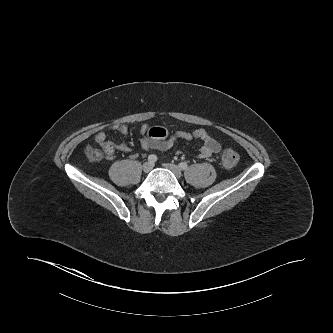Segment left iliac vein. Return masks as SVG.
<instances>
[{
	"mask_svg": "<svg viewBox=\"0 0 333 333\" xmlns=\"http://www.w3.org/2000/svg\"><path fill=\"white\" fill-rule=\"evenodd\" d=\"M163 167L170 170L177 178H180L182 176L181 169L178 166H176L175 164L164 163Z\"/></svg>",
	"mask_w": 333,
	"mask_h": 333,
	"instance_id": "obj_1",
	"label": "left iliac vein"
}]
</instances>
